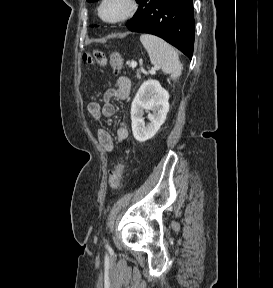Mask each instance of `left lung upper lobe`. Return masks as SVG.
<instances>
[{
	"instance_id": "5c2ea615",
	"label": "left lung upper lobe",
	"mask_w": 273,
	"mask_h": 288,
	"mask_svg": "<svg viewBox=\"0 0 273 288\" xmlns=\"http://www.w3.org/2000/svg\"><path fill=\"white\" fill-rule=\"evenodd\" d=\"M87 1L93 2V1H97V0H87Z\"/></svg>"
}]
</instances>
